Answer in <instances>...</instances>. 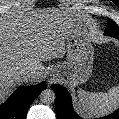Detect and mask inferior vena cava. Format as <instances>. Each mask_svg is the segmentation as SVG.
I'll list each match as a JSON object with an SVG mask.
<instances>
[{
    "label": "inferior vena cava",
    "instance_id": "602c4592",
    "mask_svg": "<svg viewBox=\"0 0 119 119\" xmlns=\"http://www.w3.org/2000/svg\"><path fill=\"white\" fill-rule=\"evenodd\" d=\"M35 74V69L33 67L21 70V78L24 82L28 81Z\"/></svg>",
    "mask_w": 119,
    "mask_h": 119
}]
</instances>
